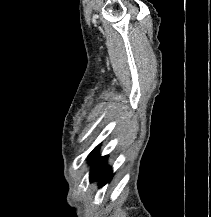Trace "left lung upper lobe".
Listing matches in <instances>:
<instances>
[{
  "label": "left lung upper lobe",
  "instance_id": "5c2ea615",
  "mask_svg": "<svg viewBox=\"0 0 211 217\" xmlns=\"http://www.w3.org/2000/svg\"><path fill=\"white\" fill-rule=\"evenodd\" d=\"M98 151H99V149L97 147L91 152V154L89 156V161H92V159L97 155Z\"/></svg>",
  "mask_w": 211,
  "mask_h": 217
}]
</instances>
